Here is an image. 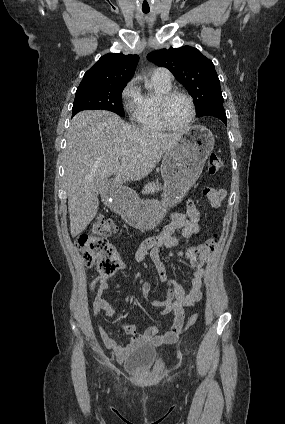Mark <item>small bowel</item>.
<instances>
[{"instance_id": "1", "label": "small bowel", "mask_w": 285, "mask_h": 424, "mask_svg": "<svg viewBox=\"0 0 285 424\" xmlns=\"http://www.w3.org/2000/svg\"><path fill=\"white\" fill-rule=\"evenodd\" d=\"M200 217V212L194 201L189 200L185 213H171L170 222L163 228L161 233L145 239L136 249L135 259L139 263L146 260L149 252L160 281L167 285V299L165 301L155 300L151 297V286L148 283H144L141 286L143 298L153 307H162V315H173L174 322L171 329L163 335L158 334L156 326H149L145 331L137 334L133 327L122 325V330L130 335V341L127 345L118 344L113 334L108 332L103 325H99V333L104 346L114 353L119 362H123L127 353L134 347L146 344L152 346L170 344L175 342L183 333L184 310L193 306L202 296L201 289L205 276V262L199 266L194 265L195 269L186 273L190 286L189 291L186 292L181 284L170 279L169 272L160 259V252L163 248L175 247L182 239H189L198 234L200 232ZM117 257L120 261V267L124 269V261L120 255ZM117 287V283L111 285L101 275H98L90 283V289L95 291V298L92 303V312L95 316L105 315L111 318L116 316V310L106 298V292Z\"/></svg>"}]
</instances>
